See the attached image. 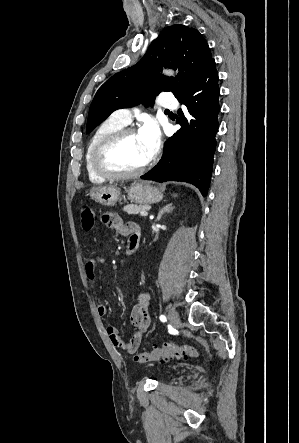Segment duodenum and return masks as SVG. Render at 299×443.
<instances>
[{
	"mask_svg": "<svg viewBox=\"0 0 299 443\" xmlns=\"http://www.w3.org/2000/svg\"><path fill=\"white\" fill-rule=\"evenodd\" d=\"M139 247V240L135 239L128 243L127 248L125 250V255L130 256L137 251Z\"/></svg>",
	"mask_w": 299,
	"mask_h": 443,
	"instance_id": "1",
	"label": "duodenum"
}]
</instances>
